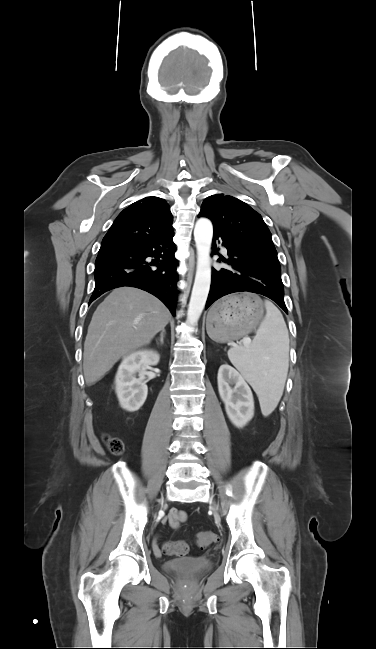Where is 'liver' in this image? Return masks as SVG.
<instances>
[{"mask_svg":"<svg viewBox=\"0 0 376 649\" xmlns=\"http://www.w3.org/2000/svg\"><path fill=\"white\" fill-rule=\"evenodd\" d=\"M170 312L155 296L135 287L114 289L97 307L84 342L83 370L91 386L123 356L150 343Z\"/></svg>","mask_w":376,"mask_h":649,"instance_id":"liver-1","label":"liver"}]
</instances>
